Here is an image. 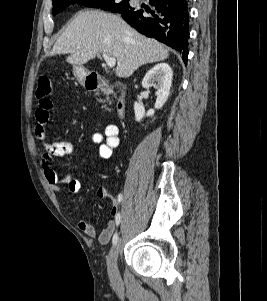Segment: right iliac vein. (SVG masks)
<instances>
[{
    "label": "right iliac vein",
    "instance_id": "obj_1",
    "mask_svg": "<svg viewBox=\"0 0 267 301\" xmlns=\"http://www.w3.org/2000/svg\"><path fill=\"white\" fill-rule=\"evenodd\" d=\"M120 250V241H118L110 250L107 256V269L111 280L118 282L120 279L117 267V258Z\"/></svg>",
    "mask_w": 267,
    "mask_h": 301
}]
</instances>
